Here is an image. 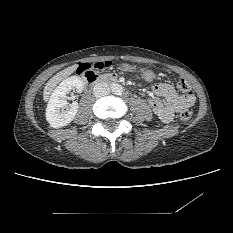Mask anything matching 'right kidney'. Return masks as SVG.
Listing matches in <instances>:
<instances>
[{
	"label": "right kidney",
	"instance_id": "right-kidney-1",
	"mask_svg": "<svg viewBox=\"0 0 233 233\" xmlns=\"http://www.w3.org/2000/svg\"><path fill=\"white\" fill-rule=\"evenodd\" d=\"M84 84L80 77L71 76L63 80L58 87L53 91L50 96L47 108H46V120L53 128H61L67 126L74 119L78 111V103L73 102L67 110H61L68 108L66 100V94L70 90L76 89L77 92L83 91Z\"/></svg>",
	"mask_w": 233,
	"mask_h": 233
}]
</instances>
